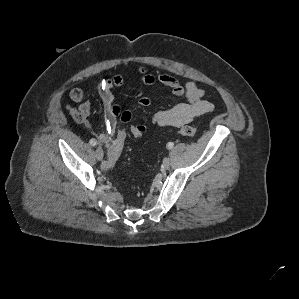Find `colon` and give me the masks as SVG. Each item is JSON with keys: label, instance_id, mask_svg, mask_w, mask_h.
Segmentation results:
<instances>
[{"label": "colon", "instance_id": "colon-1", "mask_svg": "<svg viewBox=\"0 0 299 299\" xmlns=\"http://www.w3.org/2000/svg\"><path fill=\"white\" fill-rule=\"evenodd\" d=\"M69 112L75 121L79 123H85L87 121L88 112L86 109L80 106L78 108L71 107L69 108ZM144 133L145 129L138 124H131L127 128L116 129L107 143L106 158L103 162V167L105 169H111L115 165L129 136L140 138ZM196 133V127L191 125H182L178 130V134L184 137H193Z\"/></svg>", "mask_w": 299, "mask_h": 299}]
</instances>
